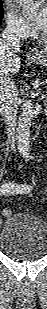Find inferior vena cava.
Here are the masks:
<instances>
[{
    "instance_id": "obj_1",
    "label": "inferior vena cava",
    "mask_w": 47,
    "mask_h": 309,
    "mask_svg": "<svg viewBox=\"0 0 47 309\" xmlns=\"http://www.w3.org/2000/svg\"><path fill=\"white\" fill-rule=\"evenodd\" d=\"M21 28L14 22H9L1 33V40L8 45L19 47L21 38ZM18 91L15 82L9 75L4 74L0 80V110L5 122L10 128L16 124Z\"/></svg>"
}]
</instances>
